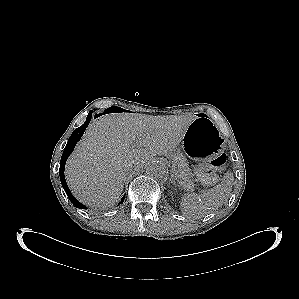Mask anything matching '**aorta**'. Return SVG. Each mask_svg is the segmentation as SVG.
Wrapping results in <instances>:
<instances>
[{"label":"aorta","instance_id":"1","mask_svg":"<svg viewBox=\"0 0 299 299\" xmlns=\"http://www.w3.org/2000/svg\"><path fill=\"white\" fill-rule=\"evenodd\" d=\"M147 174L153 178H163L166 173V166L164 163L160 162V161H152L146 170Z\"/></svg>","mask_w":299,"mask_h":299}]
</instances>
